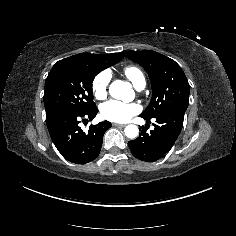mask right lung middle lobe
<instances>
[{"label":"right lung middle lobe","mask_w":236,"mask_h":236,"mask_svg":"<svg viewBox=\"0 0 236 236\" xmlns=\"http://www.w3.org/2000/svg\"><path fill=\"white\" fill-rule=\"evenodd\" d=\"M114 64L99 56H71L56 62L45 81L46 116L62 111L84 113L95 107L93 79Z\"/></svg>","instance_id":"1"}]
</instances>
